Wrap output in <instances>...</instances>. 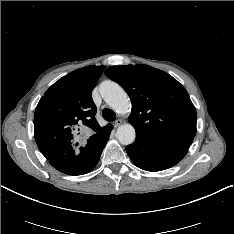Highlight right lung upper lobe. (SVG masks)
Wrapping results in <instances>:
<instances>
[{"label": "right lung upper lobe", "instance_id": "right-lung-upper-lobe-1", "mask_svg": "<svg viewBox=\"0 0 234 234\" xmlns=\"http://www.w3.org/2000/svg\"><path fill=\"white\" fill-rule=\"evenodd\" d=\"M104 66L77 69L54 83L41 97L34 114V135L41 153L48 159L68 160L78 155L100 127L91 92ZM91 136L82 143L81 133Z\"/></svg>", "mask_w": 234, "mask_h": 234}]
</instances>
